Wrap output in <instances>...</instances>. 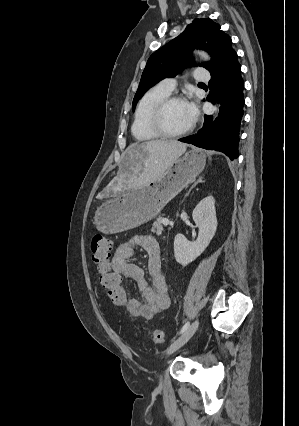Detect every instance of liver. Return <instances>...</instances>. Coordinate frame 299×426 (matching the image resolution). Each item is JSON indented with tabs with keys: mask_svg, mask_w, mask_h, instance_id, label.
<instances>
[{
	"mask_svg": "<svg viewBox=\"0 0 299 426\" xmlns=\"http://www.w3.org/2000/svg\"><path fill=\"white\" fill-rule=\"evenodd\" d=\"M186 144L178 141L151 140L130 145L120 172L125 173L134 186L146 185L160 178L172 163L186 151ZM120 173V174H121Z\"/></svg>",
	"mask_w": 299,
	"mask_h": 426,
	"instance_id": "1",
	"label": "liver"
}]
</instances>
